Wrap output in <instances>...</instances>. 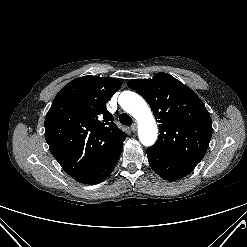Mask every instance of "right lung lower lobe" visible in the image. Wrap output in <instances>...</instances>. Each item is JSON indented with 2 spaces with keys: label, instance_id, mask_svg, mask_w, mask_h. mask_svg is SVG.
Here are the masks:
<instances>
[{
  "label": "right lung lower lobe",
  "instance_id": "right-lung-lower-lobe-1",
  "mask_svg": "<svg viewBox=\"0 0 247 247\" xmlns=\"http://www.w3.org/2000/svg\"><path fill=\"white\" fill-rule=\"evenodd\" d=\"M121 151L122 148H120L111 157H109L106 161H104L99 166L94 168L92 171L77 178L76 181L84 184H96L105 180L109 176V174L113 171L118 161V158L121 154Z\"/></svg>",
  "mask_w": 247,
  "mask_h": 247
}]
</instances>
